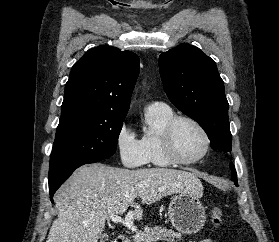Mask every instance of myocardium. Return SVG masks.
Returning <instances> with one entry per match:
<instances>
[{
    "instance_id": "myocardium-1",
    "label": "myocardium",
    "mask_w": 279,
    "mask_h": 242,
    "mask_svg": "<svg viewBox=\"0 0 279 242\" xmlns=\"http://www.w3.org/2000/svg\"><path fill=\"white\" fill-rule=\"evenodd\" d=\"M186 121L193 124L202 134L204 139V149L202 153L193 159H184L177 153L174 145V129L178 122ZM163 150L167 158L173 163L178 165H192L206 157L210 150L211 140L205 127L195 118L187 115H175L165 125L161 135Z\"/></svg>"
}]
</instances>
